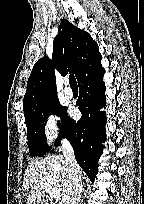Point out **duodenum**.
<instances>
[{
  "instance_id": "obj_1",
  "label": "duodenum",
  "mask_w": 144,
  "mask_h": 204,
  "mask_svg": "<svg viewBox=\"0 0 144 204\" xmlns=\"http://www.w3.org/2000/svg\"><path fill=\"white\" fill-rule=\"evenodd\" d=\"M37 204H48L47 202H45V201H42V200H40V201H38V203Z\"/></svg>"
}]
</instances>
